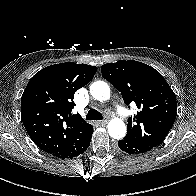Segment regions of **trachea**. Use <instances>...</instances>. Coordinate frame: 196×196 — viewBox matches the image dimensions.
<instances>
[{
    "instance_id": "trachea-1",
    "label": "trachea",
    "mask_w": 196,
    "mask_h": 196,
    "mask_svg": "<svg viewBox=\"0 0 196 196\" xmlns=\"http://www.w3.org/2000/svg\"><path fill=\"white\" fill-rule=\"evenodd\" d=\"M87 120H102L103 116L102 114L95 110V109H90L86 115Z\"/></svg>"
}]
</instances>
